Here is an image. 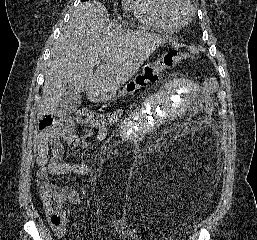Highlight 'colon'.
<instances>
[{"label":"colon","instance_id":"1","mask_svg":"<svg viewBox=\"0 0 257 240\" xmlns=\"http://www.w3.org/2000/svg\"><path fill=\"white\" fill-rule=\"evenodd\" d=\"M189 57H191L190 54L177 51L164 53L157 60L146 65L130 79L119 95H131L137 93L141 88L155 82L164 70L175 66L181 60ZM204 88L208 93L216 91L218 88L217 81L214 78L209 77L205 81ZM80 115L86 121H98L100 119L88 110H82ZM39 128L40 130H59L61 126L51 117H45L40 121ZM42 200L51 225L57 228L63 227V220L65 217L63 196L58 192H46L42 194Z\"/></svg>","mask_w":257,"mask_h":240}]
</instances>
